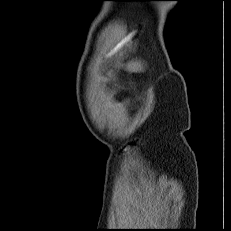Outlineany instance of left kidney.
Listing matches in <instances>:
<instances>
[{
  "label": "left kidney",
  "instance_id": "5707ae66",
  "mask_svg": "<svg viewBox=\"0 0 231 231\" xmlns=\"http://www.w3.org/2000/svg\"><path fill=\"white\" fill-rule=\"evenodd\" d=\"M127 69L130 72H141L143 71L144 67L141 61H133L128 64Z\"/></svg>",
  "mask_w": 231,
  "mask_h": 231
}]
</instances>
